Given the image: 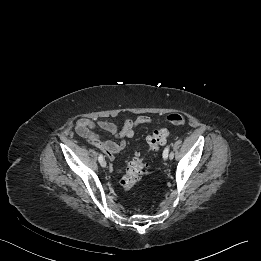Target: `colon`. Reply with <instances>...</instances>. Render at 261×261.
<instances>
[{
  "mask_svg": "<svg viewBox=\"0 0 261 261\" xmlns=\"http://www.w3.org/2000/svg\"><path fill=\"white\" fill-rule=\"evenodd\" d=\"M185 120L180 117L173 116L168 121V126L155 130L151 135L147 137V149L154 152L159 149L161 145H164L170 134L171 127L184 123ZM146 172V162L141 153H136L135 156L129 161L126 173L120 180V185L125 191L131 190L140 176Z\"/></svg>",
  "mask_w": 261,
  "mask_h": 261,
  "instance_id": "colon-1",
  "label": "colon"
}]
</instances>
